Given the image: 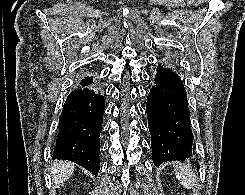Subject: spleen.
<instances>
[{"label":"spleen","mask_w":245,"mask_h":195,"mask_svg":"<svg viewBox=\"0 0 245 195\" xmlns=\"http://www.w3.org/2000/svg\"><path fill=\"white\" fill-rule=\"evenodd\" d=\"M174 167L176 178L180 181V184L188 190L193 189L196 182V176L192 171L191 166L186 164H176Z\"/></svg>","instance_id":"3e777b00"}]
</instances>
